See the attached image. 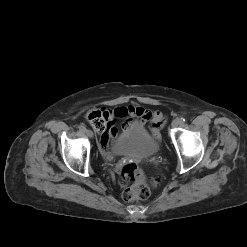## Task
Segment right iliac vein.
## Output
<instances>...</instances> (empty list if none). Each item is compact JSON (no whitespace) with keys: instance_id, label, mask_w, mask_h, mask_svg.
Wrapping results in <instances>:
<instances>
[{"instance_id":"obj_1","label":"right iliac vein","mask_w":247,"mask_h":247,"mask_svg":"<svg viewBox=\"0 0 247 247\" xmlns=\"http://www.w3.org/2000/svg\"><path fill=\"white\" fill-rule=\"evenodd\" d=\"M85 133H86V135H87L88 137H90V138L93 137V132H92L91 130L87 129V130L85 131Z\"/></svg>"}]
</instances>
